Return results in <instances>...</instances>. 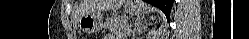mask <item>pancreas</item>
I'll use <instances>...</instances> for the list:
<instances>
[{"mask_svg": "<svg viewBox=\"0 0 249 39\" xmlns=\"http://www.w3.org/2000/svg\"><path fill=\"white\" fill-rule=\"evenodd\" d=\"M104 27L122 39H124L129 32V25L126 17L109 18L104 23Z\"/></svg>", "mask_w": 249, "mask_h": 39, "instance_id": "1", "label": "pancreas"}]
</instances>
